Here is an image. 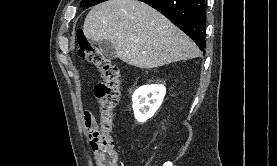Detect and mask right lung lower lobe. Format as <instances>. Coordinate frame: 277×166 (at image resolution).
Here are the masks:
<instances>
[{"label":"right lung lower lobe","mask_w":277,"mask_h":166,"mask_svg":"<svg viewBox=\"0 0 277 166\" xmlns=\"http://www.w3.org/2000/svg\"><path fill=\"white\" fill-rule=\"evenodd\" d=\"M164 14L205 51V0H140Z\"/></svg>","instance_id":"98d812e1"}]
</instances>
